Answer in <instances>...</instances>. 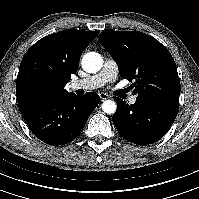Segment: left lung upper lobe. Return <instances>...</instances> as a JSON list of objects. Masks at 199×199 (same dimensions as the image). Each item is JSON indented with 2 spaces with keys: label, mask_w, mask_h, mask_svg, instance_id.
Here are the masks:
<instances>
[{
  "label": "left lung upper lobe",
  "mask_w": 199,
  "mask_h": 199,
  "mask_svg": "<svg viewBox=\"0 0 199 199\" xmlns=\"http://www.w3.org/2000/svg\"><path fill=\"white\" fill-rule=\"evenodd\" d=\"M99 43L116 61L120 75L140 98L178 106L180 81L167 48L139 31H103Z\"/></svg>",
  "instance_id": "left-lung-upper-lobe-1"
}]
</instances>
